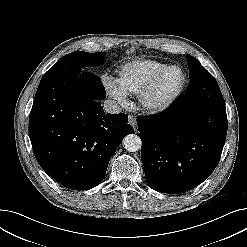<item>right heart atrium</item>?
<instances>
[{"label":"right heart atrium","instance_id":"d8ad5b80","mask_svg":"<svg viewBox=\"0 0 247 247\" xmlns=\"http://www.w3.org/2000/svg\"><path fill=\"white\" fill-rule=\"evenodd\" d=\"M103 83H104L105 89L107 90L108 94L111 97H113L115 100H117L122 105L126 104L127 100H126L125 94L118 88V86L114 82L108 79H104Z\"/></svg>","mask_w":247,"mask_h":247}]
</instances>
